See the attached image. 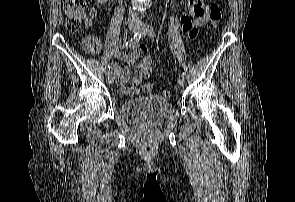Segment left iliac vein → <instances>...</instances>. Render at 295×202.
I'll return each mask as SVG.
<instances>
[{
    "instance_id": "1",
    "label": "left iliac vein",
    "mask_w": 295,
    "mask_h": 202,
    "mask_svg": "<svg viewBox=\"0 0 295 202\" xmlns=\"http://www.w3.org/2000/svg\"><path fill=\"white\" fill-rule=\"evenodd\" d=\"M138 30L141 31L144 36L147 34V27L141 22H140V24L138 26ZM178 84L181 87L184 86L185 85V78L180 77L178 79Z\"/></svg>"
}]
</instances>
